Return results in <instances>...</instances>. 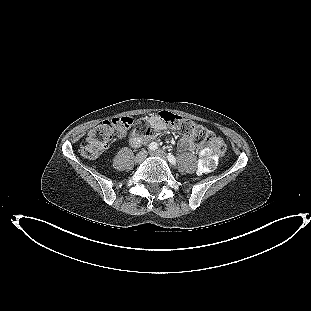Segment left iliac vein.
<instances>
[{"label": "left iliac vein", "mask_w": 311, "mask_h": 311, "mask_svg": "<svg viewBox=\"0 0 311 311\" xmlns=\"http://www.w3.org/2000/svg\"><path fill=\"white\" fill-rule=\"evenodd\" d=\"M150 154L153 155V156L160 157V158H162L164 160L167 159V155L165 154V152L163 150L151 151Z\"/></svg>", "instance_id": "4c4485c4"}]
</instances>
